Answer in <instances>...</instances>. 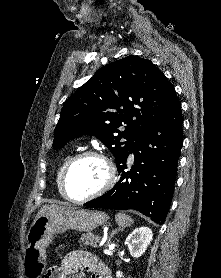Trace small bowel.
I'll list each match as a JSON object with an SVG mask.
<instances>
[{"label": "small bowel", "instance_id": "1", "mask_svg": "<svg viewBox=\"0 0 221 278\" xmlns=\"http://www.w3.org/2000/svg\"><path fill=\"white\" fill-rule=\"evenodd\" d=\"M84 269L92 272L91 278H110L107 268L98 264L91 253L83 250L69 252L58 266V274L55 278H81L80 272ZM44 278L53 277L47 273Z\"/></svg>", "mask_w": 221, "mask_h": 278}]
</instances>
